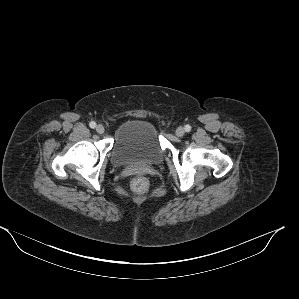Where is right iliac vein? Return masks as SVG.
<instances>
[{
  "label": "right iliac vein",
  "instance_id": "63e3f726",
  "mask_svg": "<svg viewBox=\"0 0 299 299\" xmlns=\"http://www.w3.org/2000/svg\"><path fill=\"white\" fill-rule=\"evenodd\" d=\"M96 131H97V133H99V134H103L104 131H105L104 126L101 125V124L97 125V126H96Z\"/></svg>",
  "mask_w": 299,
  "mask_h": 299
}]
</instances>
